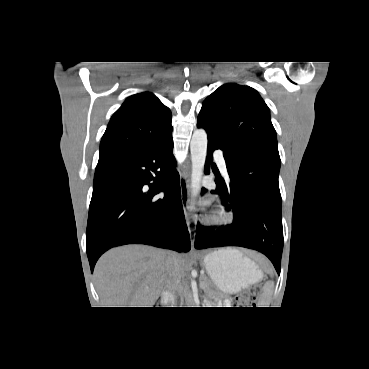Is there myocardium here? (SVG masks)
Segmentation results:
<instances>
[{
	"label": "myocardium",
	"instance_id": "f54148a6",
	"mask_svg": "<svg viewBox=\"0 0 369 369\" xmlns=\"http://www.w3.org/2000/svg\"><path fill=\"white\" fill-rule=\"evenodd\" d=\"M232 220L233 215L223 208H218L214 210L212 214H210V216L208 217V222L212 226L216 227L227 226L232 222Z\"/></svg>",
	"mask_w": 369,
	"mask_h": 369
}]
</instances>
